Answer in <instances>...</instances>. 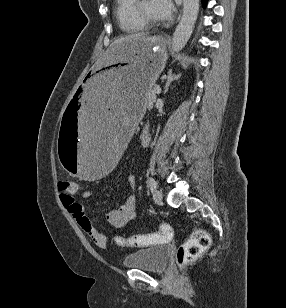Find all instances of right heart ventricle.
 Returning <instances> with one entry per match:
<instances>
[{
	"label": "right heart ventricle",
	"mask_w": 286,
	"mask_h": 308,
	"mask_svg": "<svg viewBox=\"0 0 286 308\" xmlns=\"http://www.w3.org/2000/svg\"><path fill=\"white\" fill-rule=\"evenodd\" d=\"M115 16L120 29L128 34L143 32L147 29L136 17L134 6L137 0H115Z\"/></svg>",
	"instance_id": "right-heart-ventricle-1"
}]
</instances>
